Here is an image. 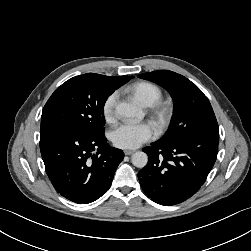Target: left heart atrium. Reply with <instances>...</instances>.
Wrapping results in <instances>:
<instances>
[{
  "label": "left heart atrium",
  "instance_id": "obj_1",
  "mask_svg": "<svg viewBox=\"0 0 251 251\" xmlns=\"http://www.w3.org/2000/svg\"><path fill=\"white\" fill-rule=\"evenodd\" d=\"M156 128L151 122H125L118 125L111 133L115 146L124 149H134L156 135Z\"/></svg>",
  "mask_w": 251,
  "mask_h": 251
}]
</instances>
